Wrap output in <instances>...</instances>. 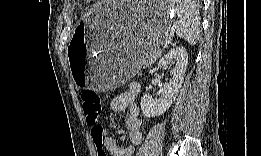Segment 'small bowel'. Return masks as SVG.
Masks as SVG:
<instances>
[{"label": "small bowel", "instance_id": "1", "mask_svg": "<svg viewBox=\"0 0 261 156\" xmlns=\"http://www.w3.org/2000/svg\"><path fill=\"white\" fill-rule=\"evenodd\" d=\"M140 93V86L136 83L129 85L128 90L113 98L110 103V109L113 112H121L128 110L125 119L127 130H119V138L121 141H129V145L121 147L116 140L109 135V130L106 126L102 129V146L112 156H132L134 154V146L141 142L142 134L140 131L141 122L139 119V107L135 100Z\"/></svg>", "mask_w": 261, "mask_h": 156}]
</instances>
